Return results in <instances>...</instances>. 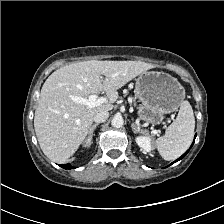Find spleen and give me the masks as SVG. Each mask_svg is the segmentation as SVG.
<instances>
[{
  "instance_id": "spleen-1",
  "label": "spleen",
  "mask_w": 224,
  "mask_h": 224,
  "mask_svg": "<svg viewBox=\"0 0 224 224\" xmlns=\"http://www.w3.org/2000/svg\"><path fill=\"white\" fill-rule=\"evenodd\" d=\"M195 129L193 109L188 101H182L179 113L165 134L155 141L163 159L170 161L180 157L191 145Z\"/></svg>"
}]
</instances>
